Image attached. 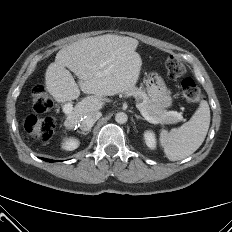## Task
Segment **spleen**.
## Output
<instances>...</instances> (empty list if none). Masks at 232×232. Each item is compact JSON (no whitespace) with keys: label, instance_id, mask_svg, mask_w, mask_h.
Instances as JSON below:
<instances>
[{"label":"spleen","instance_id":"1","mask_svg":"<svg viewBox=\"0 0 232 232\" xmlns=\"http://www.w3.org/2000/svg\"><path fill=\"white\" fill-rule=\"evenodd\" d=\"M210 125V108L201 101L191 119L171 131L161 130L160 145L170 161L184 159L193 154L203 143Z\"/></svg>","mask_w":232,"mask_h":232}]
</instances>
